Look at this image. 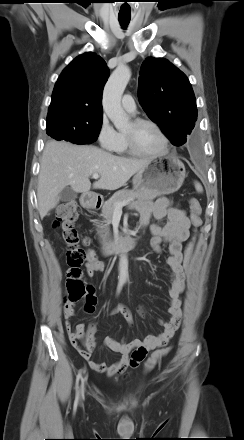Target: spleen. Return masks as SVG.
Here are the masks:
<instances>
[{"mask_svg":"<svg viewBox=\"0 0 244 440\" xmlns=\"http://www.w3.org/2000/svg\"><path fill=\"white\" fill-rule=\"evenodd\" d=\"M194 186H195V189L197 192H199V193L203 192V187L199 182L195 181Z\"/></svg>","mask_w":244,"mask_h":440,"instance_id":"obj_1","label":"spleen"}]
</instances>
